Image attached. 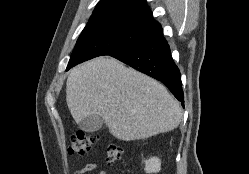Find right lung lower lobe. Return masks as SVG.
<instances>
[{
	"instance_id": "1",
	"label": "right lung lower lobe",
	"mask_w": 249,
	"mask_h": 174,
	"mask_svg": "<svg viewBox=\"0 0 249 174\" xmlns=\"http://www.w3.org/2000/svg\"><path fill=\"white\" fill-rule=\"evenodd\" d=\"M111 56L164 83L184 107L180 72L159 23L149 29L144 41Z\"/></svg>"
}]
</instances>
